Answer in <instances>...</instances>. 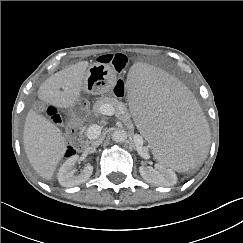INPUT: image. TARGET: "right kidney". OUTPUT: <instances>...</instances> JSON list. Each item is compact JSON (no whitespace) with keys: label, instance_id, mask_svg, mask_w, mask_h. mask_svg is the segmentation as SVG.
Instances as JSON below:
<instances>
[{"label":"right kidney","instance_id":"1","mask_svg":"<svg viewBox=\"0 0 243 243\" xmlns=\"http://www.w3.org/2000/svg\"><path fill=\"white\" fill-rule=\"evenodd\" d=\"M79 156L73 155L69 157L60 167L58 172V181L61 186L73 187L86 182L92 175L93 166L88 164L80 174L76 175L74 165L78 162Z\"/></svg>","mask_w":243,"mask_h":243}]
</instances>
